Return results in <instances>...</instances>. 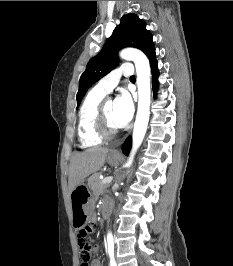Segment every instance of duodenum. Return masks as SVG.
Instances as JSON below:
<instances>
[{"label":"duodenum","instance_id":"duodenum-1","mask_svg":"<svg viewBox=\"0 0 233 266\" xmlns=\"http://www.w3.org/2000/svg\"><path fill=\"white\" fill-rule=\"evenodd\" d=\"M109 213V206L108 204H104L102 207V216L106 217Z\"/></svg>","mask_w":233,"mask_h":266}]
</instances>
